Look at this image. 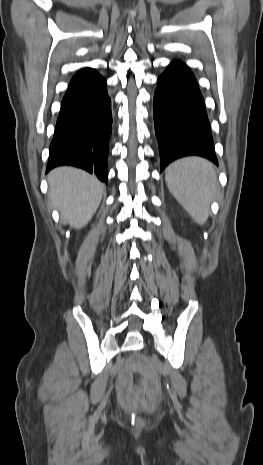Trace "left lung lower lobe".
Wrapping results in <instances>:
<instances>
[{
    "mask_svg": "<svg viewBox=\"0 0 263 465\" xmlns=\"http://www.w3.org/2000/svg\"><path fill=\"white\" fill-rule=\"evenodd\" d=\"M153 113L161 171L187 155H199L218 165L204 99L185 64L172 62L158 78Z\"/></svg>",
    "mask_w": 263,
    "mask_h": 465,
    "instance_id": "obj_1",
    "label": "left lung lower lobe"
}]
</instances>
